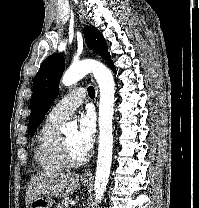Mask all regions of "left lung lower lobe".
Returning <instances> with one entry per match:
<instances>
[{
	"label": "left lung lower lobe",
	"mask_w": 199,
	"mask_h": 208,
	"mask_svg": "<svg viewBox=\"0 0 199 208\" xmlns=\"http://www.w3.org/2000/svg\"><path fill=\"white\" fill-rule=\"evenodd\" d=\"M111 69H112L113 71H115V67H114V65H112V66H111Z\"/></svg>",
	"instance_id": "1"
}]
</instances>
